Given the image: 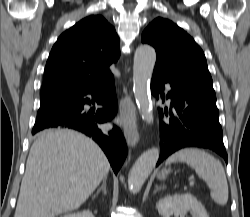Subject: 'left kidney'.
<instances>
[{"mask_svg": "<svg viewBox=\"0 0 250 217\" xmlns=\"http://www.w3.org/2000/svg\"><path fill=\"white\" fill-rule=\"evenodd\" d=\"M158 213L163 217H176L191 212L192 217H209L203 205L191 194H175L160 199L156 205Z\"/></svg>", "mask_w": 250, "mask_h": 217, "instance_id": "1", "label": "left kidney"}]
</instances>
